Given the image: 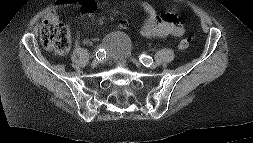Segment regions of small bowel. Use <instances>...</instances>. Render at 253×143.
<instances>
[{"instance_id": "obj_1", "label": "small bowel", "mask_w": 253, "mask_h": 143, "mask_svg": "<svg viewBox=\"0 0 253 143\" xmlns=\"http://www.w3.org/2000/svg\"><path fill=\"white\" fill-rule=\"evenodd\" d=\"M139 4L147 16L141 30L142 36L152 38L166 36L179 37L183 35L184 29L174 13H158L154 6L147 1H140ZM69 5H77L82 15H89L96 10L98 0H58L56 5L49 10L47 20L58 21V8ZM128 25L129 22L126 19H121L119 21V28L121 29L127 28ZM82 43L84 45H89L91 40L83 39Z\"/></svg>"}]
</instances>
